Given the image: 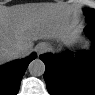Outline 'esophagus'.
<instances>
[{"mask_svg": "<svg viewBox=\"0 0 95 95\" xmlns=\"http://www.w3.org/2000/svg\"><path fill=\"white\" fill-rule=\"evenodd\" d=\"M36 50H37L38 54H41V53H43L46 50V45L43 44V43L38 44L36 46Z\"/></svg>", "mask_w": 95, "mask_h": 95, "instance_id": "34e87169", "label": "esophagus"}]
</instances>
